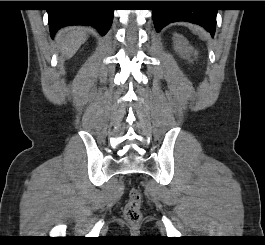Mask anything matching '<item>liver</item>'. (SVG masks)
<instances>
[{
  "mask_svg": "<svg viewBox=\"0 0 265 245\" xmlns=\"http://www.w3.org/2000/svg\"><path fill=\"white\" fill-rule=\"evenodd\" d=\"M57 40L62 54L71 58L87 40V32L80 28H73L66 32L60 31Z\"/></svg>",
  "mask_w": 265,
  "mask_h": 245,
  "instance_id": "1",
  "label": "liver"
}]
</instances>
